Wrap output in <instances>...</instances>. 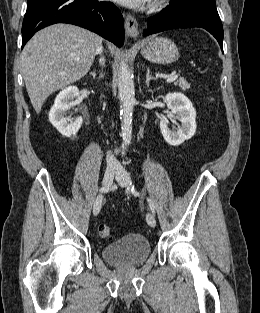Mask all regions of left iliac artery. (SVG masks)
Segmentation results:
<instances>
[{
  "label": "left iliac artery",
  "instance_id": "1",
  "mask_svg": "<svg viewBox=\"0 0 260 313\" xmlns=\"http://www.w3.org/2000/svg\"><path fill=\"white\" fill-rule=\"evenodd\" d=\"M130 190H131L132 194H134L135 196L140 195L139 192L135 189V186H134V184H132V182H131ZM147 201H148L150 210L152 211L153 214H155V205H154L153 201L150 198H147Z\"/></svg>",
  "mask_w": 260,
  "mask_h": 313
}]
</instances>
